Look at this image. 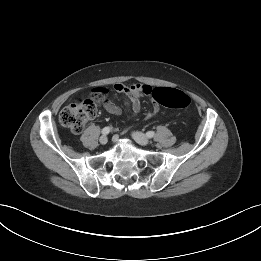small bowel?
I'll return each mask as SVG.
<instances>
[{"label":"small bowel","instance_id":"c3829d8e","mask_svg":"<svg viewBox=\"0 0 261 261\" xmlns=\"http://www.w3.org/2000/svg\"><path fill=\"white\" fill-rule=\"evenodd\" d=\"M114 89L117 92L123 93L127 96L128 100L126 102V106L133 115L138 114L141 110L140 97L151 96L153 91V88L146 84L125 85L122 83H117L114 85ZM103 105L104 108L113 115H120L122 113L121 107L110 100L105 99ZM157 112L158 108L154 107V109L147 114V118L154 116Z\"/></svg>","mask_w":261,"mask_h":261}]
</instances>
